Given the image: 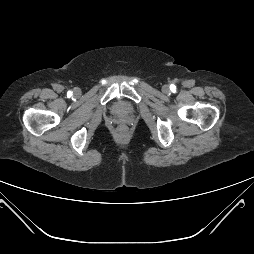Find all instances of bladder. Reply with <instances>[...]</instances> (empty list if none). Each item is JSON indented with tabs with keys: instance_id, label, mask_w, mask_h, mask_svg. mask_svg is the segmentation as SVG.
<instances>
[{
	"instance_id": "1",
	"label": "bladder",
	"mask_w": 254,
	"mask_h": 254,
	"mask_svg": "<svg viewBox=\"0 0 254 254\" xmlns=\"http://www.w3.org/2000/svg\"><path fill=\"white\" fill-rule=\"evenodd\" d=\"M113 112L117 115H128L132 113V107L124 101H118L113 106Z\"/></svg>"
}]
</instances>
